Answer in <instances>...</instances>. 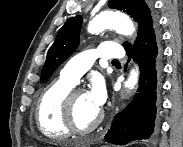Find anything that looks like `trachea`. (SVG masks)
<instances>
[{
    "label": "trachea",
    "mask_w": 183,
    "mask_h": 147,
    "mask_svg": "<svg viewBox=\"0 0 183 147\" xmlns=\"http://www.w3.org/2000/svg\"><path fill=\"white\" fill-rule=\"evenodd\" d=\"M112 62H119L117 59L112 60Z\"/></svg>",
    "instance_id": "obj_1"
}]
</instances>
